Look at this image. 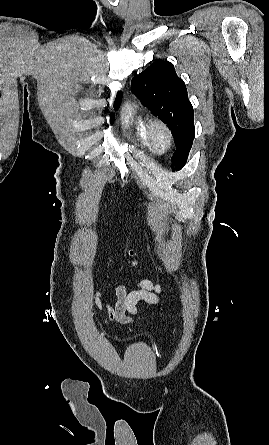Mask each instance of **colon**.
<instances>
[{
    "mask_svg": "<svg viewBox=\"0 0 269 445\" xmlns=\"http://www.w3.org/2000/svg\"><path fill=\"white\" fill-rule=\"evenodd\" d=\"M126 256H127L128 258H132V257L134 256V252H133L132 250H130V251L126 254Z\"/></svg>",
    "mask_w": 269,
    "mask_h": 445,
    "instance_id": "colon-1",
    "label": "colon"
}]
</instances>
